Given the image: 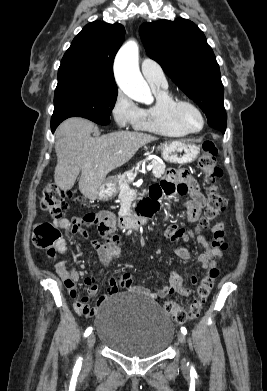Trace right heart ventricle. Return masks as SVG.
<instances>
[{
	"label": "right heart ventricle",
	"instance_id": "obj_1",
	"mask_svg": "<svg viewBox=\"0 0 267 391\" xmlns=\"http://www.w3.org/2000/svg\"><path fill=\"white\" fill-rule=\"evenodd\" d=\"M155 102L140 109V116L134 127L137 130L147 131L167 137L185 136L187 132L172 118L169 106L174 100L167 87H151Z\"/></svg>",
	"mask_w": 267,
	"mask_h": 391
}]
</instances>
